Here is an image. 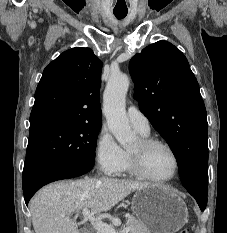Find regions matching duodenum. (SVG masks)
<instances>
[{"label":"duodenum","mask_w":227,"mask_h":233,"mask_svg":"<svg viewBox=\"0 0 227 233\" xmlns=\"http://www.w3.org/2000/svg\"><path fill=\"white\" fill-rule=\"evenodd\" d=\"M83 233H91L90 231H85V232H83Z\"/></svg>","instance_id":"obj_1"}]
</instances>
